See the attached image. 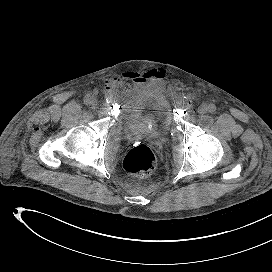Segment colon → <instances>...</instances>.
I'll list each match as a JSON object with an SVG mask.
<instances>
[{
	"label": "colon",
	"mask_w": 272,
	"mask_h": 272,
	"mask_svg": "<svg viewBox=\"0 0 272 272\" xmlns=\"http://www.w3.org/2000/svg\"><path fill=\"white\" fill-rule=\"evenodd\" d=\"M123 165L125 170L133 175L146 176L154 171L157 160L149 147L139 145L126 154Z\"/></svg>",
	"instance_id": "colon-1"
}]
</instances>
